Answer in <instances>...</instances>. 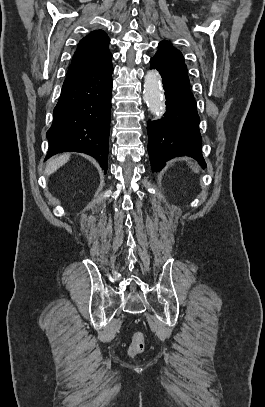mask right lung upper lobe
Instances as JSON below:
<instances>
[{
    "mask_svg": "<svg viewBox=\"0 0 265 407\" xmlns=\"http://www.w3.org/2000/svg\"><path fill=\"white\" fill-rule=\"evenodd\" d=\"M109 42L110 39L103 30L92 31L80 40L67 74L93 63L110 53L108 48Z\"/></svg>",
    "mask_w": 265,
    "mask_h": 407,
    "instance_id": "obj_1",
    "label": "right lung upper lobe"
}]
</instances>
